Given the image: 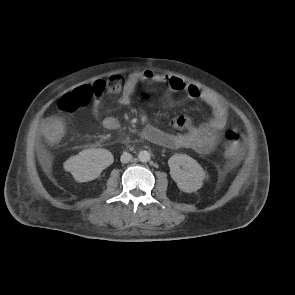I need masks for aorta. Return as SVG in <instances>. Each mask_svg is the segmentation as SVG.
Here are the masks:
<instances>
[{
	"mask_svg": "<svg viewBox=\"0 0 295 295\" xmlns=\"http://www.w3.org/2000/svg\"><path fill=\"white\" fill-rule=\"evenodd\" d=\"M150 158H151V155H150V153H149L148 151H146V150H142V151H140L139 154H138V159H139V161H141V162H148V161L150 160Z\"/></svg>",
	"mask_w": 295,
	"mask_h": 295,
	"instance_id": "aorta-1",
	"label": "aorta"
}]
</instances>
